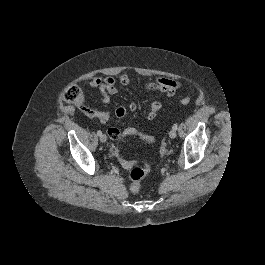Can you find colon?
I'll list each match as a JSON object with an SVG mask.
<instances>
[{"label":"colon","instance_id":"colon-1","mask_svg":"<svg viewBox=\"0 0 265 265\" xmlns=\"http://www.w3.org/2000/svg\"><path fill=\"white\" fill-rule=\"evenodd\" d=\"M63 99L68 102L72 103L80 108H85L84 103V94L80 87L77 85H70L68 86L62 94ZM180 102L183 105H188L190 103L189 98H183L180 100ZM109 136L117 140L123 136H138L141 140L152 143L154 142V138L151 136H147L145 134L140 133L138 130L134 128H127L123 132L116 130V129H110L108 131ZM112 153L118 158L120 164L126 168L130 169L129 177H130V190L132 193L137 194L141 190V182L146 177V175L150 172V165L147 162H144L142 166H135L134 161H129L126 159H123L119 155V150L116 147H112Z\"/></svg>","mask_w":265,"mask_h":265}]
</instances>
